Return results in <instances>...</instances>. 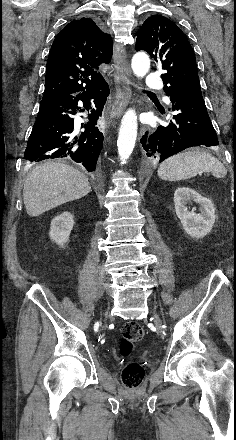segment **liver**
<instances>
[{
  "instance_id": "liver-1",
  "label": "liver",
  "mask_w": 236,
  "mask_h": 440,
  "mask_svg": "<svg viewBox=\"0 0 236 440\" xmlns=\"http://www.w3.org/2000/svg\"><path fill=\"white\" fill-rule=\"evenodd\" d=\"M90 191L91 186L84 174L63 163L47 162L28 175L23 200L27 214L37 217L64 203L80 199Z\"/></svg>"
}]
</instances>
